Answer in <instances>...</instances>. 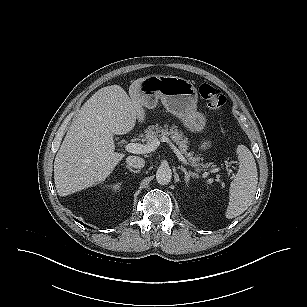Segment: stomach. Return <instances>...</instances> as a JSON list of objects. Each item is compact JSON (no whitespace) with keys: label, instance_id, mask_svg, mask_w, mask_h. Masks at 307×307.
I'll list each match as a JSON object with an SVG mask.
<instances>
[{"label":"stomach","instance_id":"obj_1","mask_svg":"<svg viewBox=\"0 0 307 307\" xmlns=\"http://www.w3.org/2000/svg\"><path fill=\"white\" fill-rule=\"evenodd\" d=\"M140 98L148 109L156 107L160 99L168 112L180 119L191 132H201L207 122L206 116L197 111L198 94L195 86L177 76L150 75L140 84ZM210 145L204 141L203 149Z\"/></svg>","mask_w":307,"mask_h":307}]
</instances>
